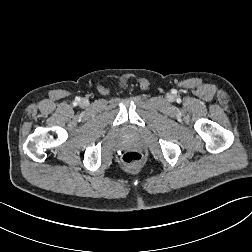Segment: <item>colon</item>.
<instances>
[{
    "label": "colon",
    "mask_w": 252,
    "mask_h": 252,
    "mask_svg": "<svg viewBox=\"0 0 252 252\" xmlns=\"http://www.w3.org/2000/svg\"><path fill=\"white\" fill-rule=\"evenodd\" d=\"M122 161L128 166L136 167L140 165L142 156L138 152L128 151L122 156Z\"/></svg>",
    "instance_id": "5ec220e1"
}]
</instances>
